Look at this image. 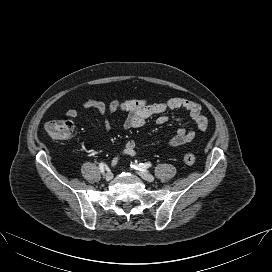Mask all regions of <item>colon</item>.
<instances>
[{
  "mask_svg": "<svg viewBox=\"0 0 272 272\" xmlns=\"http://www.w3.org/2000/svg\"><path fill=\"white\" fill-rule=\"evenodd\" d=\"M45 130L47 134L56 140H66L74 135V124L69 120H54L46 124ZM196 158L193 154L187 153L183 156V161L191 165Z\"/></svg>",
  "mask_w": 272,
  "mask_h": 272,
  "instance_id": "colon-1",
  "label": "colon"
}]
</instances>
